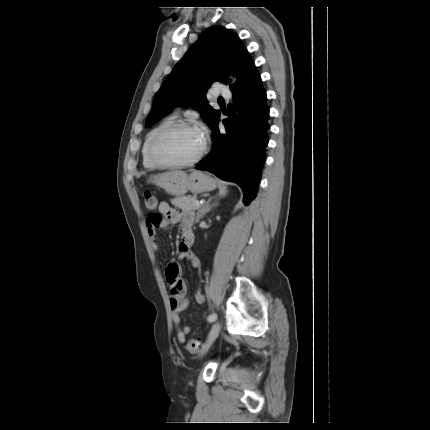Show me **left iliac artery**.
I'll return each instance as SVG.
<instances>
[{
	"label": "left iliac artery",
	"instance_id": "left-iliac-artery-1",
	"mask_svg": "<svg viewBox=\"0 0 430 430\" xmlns=\"http://www.w3.org/2000/svg\"><path fill=\"white\" fill-rule=\"evenodd\" d=\"M216 319H217V315L215 313H212L207 317V320L209 322H214Z\"/></svg>",
	"mask_w": 430,
	"mask_h": 430
}]
</instances>
